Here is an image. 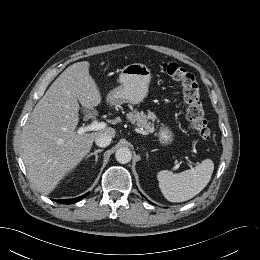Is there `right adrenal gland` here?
<instances>
[{
    "label": "right adrenal gland",
    "instance_id": "right-adrenal-gland-1",
    "mask_svg": "<svg viewBox=\"0 0 260 260\" xmlns=\"http://www.w3.org/2000/svg\"><path fill=\"white\" fill-rule=\"evenodd\" d=\"M102 151H103V149H97V150H95L94 152L88 154V155L86 156V159L89 158V157H91L92 155H95V162H97V160H98V153H100V152H102Z\"/></svg>",
    "mask_w": 260,
    "mask_h": 260
}]
</instances>
